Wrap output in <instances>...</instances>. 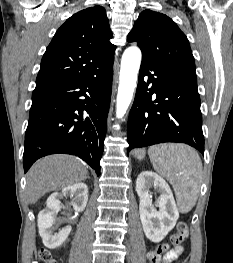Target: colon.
Masks as SVG:
<instances>
[{
	"mask_svg": "<svg viewBox=\"0 0 233 263\" xmlns=\"http://www.w3.org/2000/svg\"><path fill=\"white\" fill-rule=\"evenodd\" d=\"M188 237V226L185 222H180L177 226V231L170 237L169 242L159 243L154 249L148 253V260L150 263H160L162 258L170 249V246L178 247ZM39 258L44 263H59L51 253L46 249L39 251Z\"/></svg>",
	"mask_w": 233,
	"mask_h": 263,
	"instance_id": "5ec220e1",
	"label": "colon"
}]
</instances>
